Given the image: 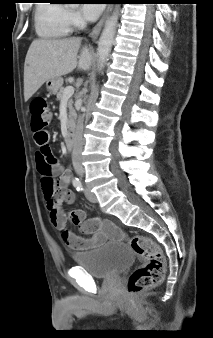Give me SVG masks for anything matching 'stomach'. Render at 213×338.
Returning <instances> with one entry per match:
<instances>
[{"instance_id": "1", "label": "stomach", "mask_w": 213, "mask_h": 338, "mask_svg": "<svg viewBox=\"0 0 213 338\" xmlns=\"http://www.w3.org/2000/svg\"><path fill=\"white\" fill-rule=\"evenodd\" d=\"M62 84H63L62 77H55V78H51V79H49V80L46 81L47 90L51 94L57 93V91L60 89V87L62 86Z\"/></svg>"}]
</instances>
